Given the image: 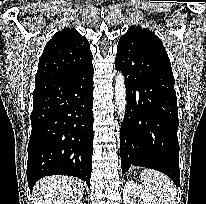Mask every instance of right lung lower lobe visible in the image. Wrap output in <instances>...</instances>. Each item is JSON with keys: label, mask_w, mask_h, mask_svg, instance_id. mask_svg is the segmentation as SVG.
Here are the masks:
<instances>
[{"label": "right lung lower lobe", "mask_w": 206, "mask_h": 204, "mask_svg": "<svg viewBox=\"0 0 206 204\" xmlns=\"http://www.w3.org/2000/svg\"><path fill=\"white\" fill-rule=\"evenodd\" d=\"M93 65L35 84L28 144L30 190L48 175L75 176L90 188L93 154Z\"/></svg>", "instance_id": "right-lung-lower-lobe-1"}]
</instances>
